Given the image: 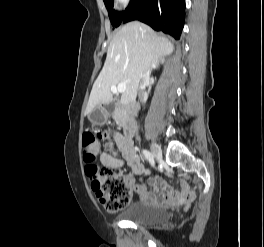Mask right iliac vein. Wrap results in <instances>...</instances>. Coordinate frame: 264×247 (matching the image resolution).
Returning a JSON list of instances; mask_svg holds the SVG:
<instances>
[{
    "label": "right iliac vein",
    "instance_id": "obj_1",
    "mask_svg": "<svg viewBox=\"0 0 264 247\" xmlns=\"http://www.w3.org/2000/svg\"><path fill=\"white\" fill-rule=\"evenodd\" d=\"M150 148L155 159L160 160L162 158V152L160 147L156 143H152Z\"/></svg>",
    "mask_w": 264,
    "mask_h": 247
}]
</instances>
